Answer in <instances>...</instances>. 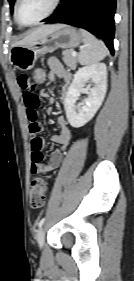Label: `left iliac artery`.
Instances as JSON below:
<instances>
[{
  "label": "left iliac artery",
  "mask_w": 134,
  "mask_h": 281,
  "mask_svg": "<svg viewBox=\"0 0 134 281\" xmlns=\"http://www.w3.org/2000/svg\"><path fill=\"white\" fill-rule=\"evenodd\" d=\"M44 221H45V218H42V219L39 221L38 226L41 227V226L43 225Z\"/></svg>",
  "instance_id": "left-iliac-artery-1"
}]
</instances>
